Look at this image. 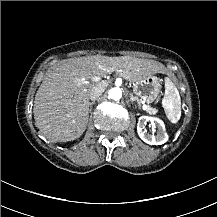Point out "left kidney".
Segmentation results:
<instances>
[{"label": "left kidney", "mask_w": 217, "mask_h": 217, "mask_svg": "<svg viewBox=\"0 0 217 217\" xmlns=\"http://www.w3.org/2000/svg\"><path fill=\"white\" fill-rule=\"evenodd\" d=\"M153 121H156L159 124V129L157 135L150 134L145 129V122L147 119L140 117L137 124V132L139 137L147 144L150 145H160L165 143L168 140V134L166 133L165 124L162 120L158 118H152Z\"/></svg>", "instance_id": "left-kidney-1"}]
</instances>
